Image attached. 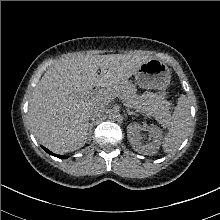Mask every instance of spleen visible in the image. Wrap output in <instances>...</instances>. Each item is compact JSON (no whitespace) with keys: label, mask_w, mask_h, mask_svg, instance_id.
<instances>
[{"label":"spleen","mask_w":220,"mask_h":220,"mask_svg":"<svg viewBox=\"0 0 220 220\" xmlns=\"http://www.w3.org/2000/svg\"><path fill=\"white\" fill-rule=\"evenodd\" d=\"M169 131L164 136L162 147L165 153H174L187 137L190 126V107L187 97L181 95L174 113L169 118Z\"/></svg>","instance_id":"3e777b00"}]
</instances>
